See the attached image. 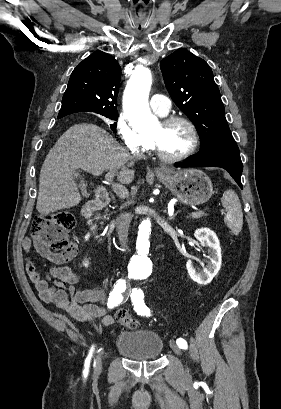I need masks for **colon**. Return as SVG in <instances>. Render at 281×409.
Masks as SVG:
<instances>
[{"mask_svg": "<svg viewBox=\"0 0 281 409\" xmlns=\"http://www.w3.org/2000/svg\"><path fill=\"white\" fill-rule=\"evenodd\" d=\"M75 225V218L69 211H59L57 213H43L34 218L32 224V241L47 248L55 260L64 261L70 257L69 242L66 233ZM122 307L115 314L117 322L121 325L134 329L138 321Z\"/></svg>", "mask_w": 281, "mask_h": 409, "instance_id": "obj_1", "label": "colon"}]
</instances>
